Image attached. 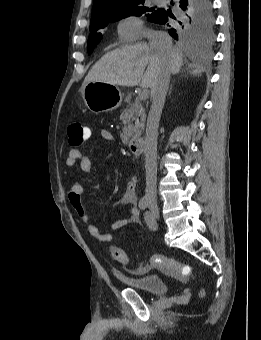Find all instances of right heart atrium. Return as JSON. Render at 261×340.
<instances>
[{
  "label": "right heart atrium",
  "instance_id": "1",
  "mask_svg": "<svg viewBox=\"0 0 261 340\" xmlns=\"http://www.w3.org/2000/svg\"><path fill=\"white\" fill-rule=\"evenodd\" d=\"M119 36L124 41L139 40L148 35L139 17L130 15L121 19L117 26Z\"/></svg>",
  "mask_w": 261,
  "mask_h": 340
}]
</instances>
